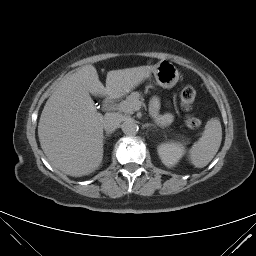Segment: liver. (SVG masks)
Listing matches in <instances>:
<instances>
[{
	"instance_id": "obj_1",
	"label": "liver",
	"mask_w": 256,
	"mask_h": 256,
	"mask_svg": "<svg viewBox=\"0 0 256 256\" xmlns=\"http://www.w3.org/2000/svg\"><path fill=\"white\" fill-rule=\"evenodd\" d=\"M149 72L150 66L109 71L106 87L93 65L67 74L47 100L38 124L40 145L51 165L73 177L96 170L103 159L104 117L97 112L90 93L120 98Z\"/></svg>"
}]
</instances>
